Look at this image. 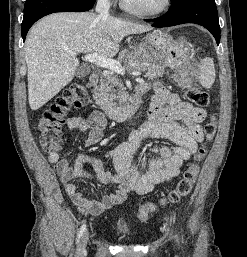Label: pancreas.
<instances>
[{"instance_id": "1", "label": "pancreas", "mask_w": 247, "mask_h": 257, "mask_svg": "<svg viewBox=\"0 0 247 257\" xmlns=\"http://www.w3.org/2000/svg\"><path fill=\"white\" fill-rule=\"evenodd\" d=\"M127 67L131 70L146 72L144 77L148 80L157 79L164 74V67L161 64L141 61L135 53H131ZM97 92L96 103L102 108H114L124 102L123 83L114 72H108L101 77Z\"/></svg>"}]
</instances>
